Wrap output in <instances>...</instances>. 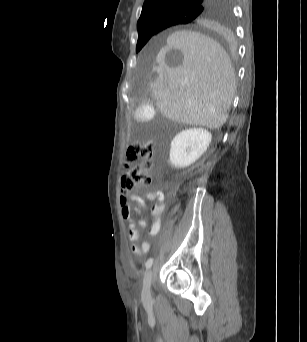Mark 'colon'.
Listing matches in <instances>:
<instances>
[{
  "label": "colon",
  "mask_w": 307,
  "mask_h": 342,
  "mask_svg": "<svg viewBox=\"0 0 307 342\" xmlns=\"http://www.w3.org/2000/svg\"><path fill=\"white\" fill-rule=\"evenodd\" d=\"M154 152L155 146L150 140L128 148V166L120 178V186L125 191L121 198V204L123 212L127 217L131 215L130 206L132 202L128 191L150 185L152 182L151 161ZM137 159H139V162L136 165H132Z\"/></svg>",
  "instance_id": "colon-1"
}]
</instances>
